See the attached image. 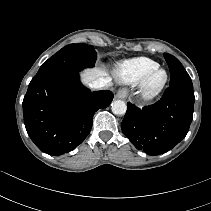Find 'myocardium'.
Returning <instances> with one entry per match:
<instances>
[{
  "mask_svg": "<svg viewBox=\"0 0 211 211\" xmlns=\"http://www.w3.org/2000/svg\"><path fill=\"white\" fill-rule=\"evenodd\" d=\"M160 72L164 73V78L160 83L154 84L153 79ZM168 79L169 76L165 69L158 67L152 70L141 82L139 92L141 100L145 103H150L156 100L165 90Z\"/></svg>",
  "mask_w": 211,
  "mask_h": 211,
  "instance_id": "obj_1",
  "label": "myocardium"
}]
</instances>
